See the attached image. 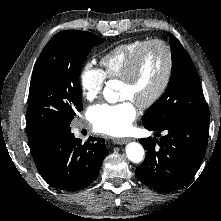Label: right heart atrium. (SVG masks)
Segmentation results:
<instances>
[{
  "instance_id": "right-heart-atrium-1",
  "label": "right heart atrium",
  "mask_w": 221,
  "mask_h": 221,
  "mask_svg": "<svg viewBox=\"0 0 221 221\" xmlns=\"http://www.w3.org/2000/svg\"><path fill=\"white\" fill-rule=\"evenodd\" d=\"M105 82L106 77L101 69L90 62L83 65L79 83L81 95L86 101L96 100L101 95Z\"/></svg>"
}]
</instances>
